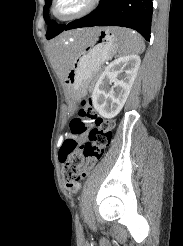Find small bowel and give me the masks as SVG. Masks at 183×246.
Listing matches in <instances>:
<instances>
[{
  "label": "small bowel",
  "instance_id": "c3829d8e",
  "mask_svg": "<svg viewBox=\"0 0 183 246\" xmlns=\"http://www.w3.org/2000/svg\"><path fill=\"white\" fill-rule=\"evenodd\" d=\"M77 136H79V135H76V134L73 133L72 138L75 139Z\"/></svg>",
  "mask_w": 183,
  "mask_h": 246
}]
</instances>
